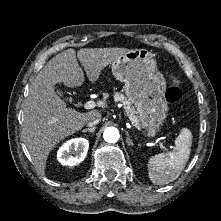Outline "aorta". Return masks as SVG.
Segmentation results:
<instances>
[{"instance_id": "1", "label": "aorta", "mask_w": 221, "mask_h": 221, "mask_svg": "<svg viewBox=\"0 0 221 221\" xmlns=\"http://www.w3.org/2000/svg\"><path fill=\"white\" fill-rule=\"evenodd\" d=\"M106 142L116 143L119 140V131L115 127H107L103 133Z\"/></svg>"}]
</instances>
